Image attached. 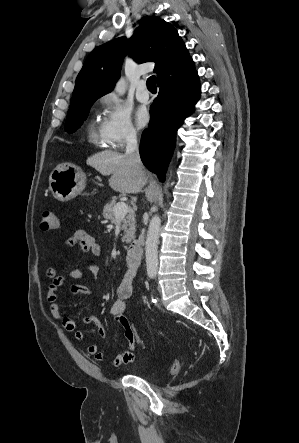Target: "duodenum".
Segmentation results:
<instances>
[{"label":"duodenum","instance_id":"1","mask_svg":"<svg viewBox=\"0 0 299 443\" xmlns=\"http://www.w3.org/2000/svg\"><path fill=\"white\" fill-rule=\"evenodd\" d=\"M142 244L140 240L133 241L127 248V264L130 266H137L142 259Z\"/></svg>","mask_w":299,"mask_h":443}]
</instances>
